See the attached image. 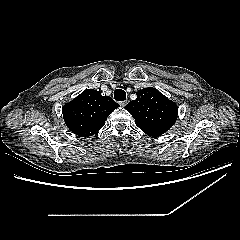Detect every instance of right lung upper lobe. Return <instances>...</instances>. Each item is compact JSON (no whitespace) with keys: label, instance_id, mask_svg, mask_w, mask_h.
Here are the masks:
<instances>
[{"label":"right lung upper lobe","instance_id":"obj_1","mask_svg":"<svg viewBox=\"0 0 240 240\" xmlns=\"http://www.w3.org/2000/svg\"><path fill=\"white\" fill-rule=\"evenodd\" d=\"M120 105L99 91L87 89L66 103L62 113L67 127L80 137H89L101 129L107 117Z\"/></svg>","mask_w":240,"mask_h":240}]
</instances>
